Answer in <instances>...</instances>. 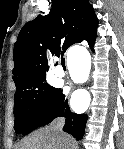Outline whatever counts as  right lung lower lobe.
Returning <instances> with one entry per match:
<instances>
[{
  "instance_id": "98d812e1",
  "label": "right lung lower lobe",
  "mask_w": 124,
  "mask_h": 149,
  "mask_svg": "<svg viewBox=\"0 0 124 149\" xmlns=\"http://www.w3.org/2000/svg\"><path fill=\"white\" fill-rule=\"evenodd\" d=\"M93 50V45L91 46ZM56 117H64L65 125L63 130L71 134L76 140H81L84 135L87 115L73 113L69 106L65 95L61 89H57L54 93L50 104L44 111L33 114L26 123L22 133L28 134L32 130L50 123Z\"/></svg>"
}]
</instances>
